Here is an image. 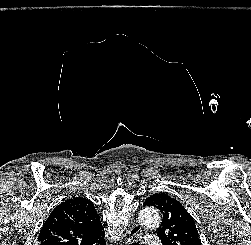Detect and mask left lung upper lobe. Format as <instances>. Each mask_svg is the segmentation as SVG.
<instances>
[{"instance_id":"1","label":"left lung upper lobe","mask_w":251,"mask_h":245,"mask_svg":"<svg viewBox=\"0 0 251 245\" xmlns=\"http://www.w3.org/2000/svg\"><path fill=\"white\" fill-rule=\"evenodd\" d=\"M154 206L163 214L162 224L154 232L163 245H201L195 223L176 199L164 194L148 197L143 207Z\"/></svg>"}]
</instances>
